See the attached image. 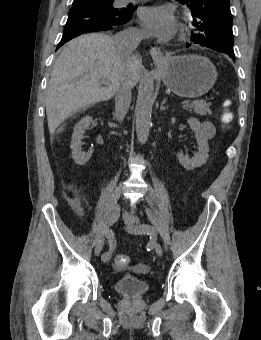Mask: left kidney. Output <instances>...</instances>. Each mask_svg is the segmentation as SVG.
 <instances>
[{
	"label": "left kidney",
	"instance_id": "left-kidney-1",
	"mask_svg": "<svg viewBox=\"0 0 261 340\" xmlns=\"http://www.w3.org/2000/svg\"><path fill=\"white\" fill-rule=\"evenodd\" d=\"M188 124L190 125L191 130L194 131L195 137L198 144V152L194 155V157L189 158L187 155H184L182 152L177 153V158L179 163L186 170H193L195 168L201 167L207 162L209 157V146L208 141L205 135L202 132L201 123L196 118L188 119Z\"/></svg>",
	"mask_w": 261,
	"mask_h": 340
}]
</instances>
